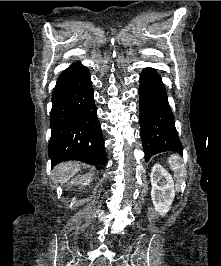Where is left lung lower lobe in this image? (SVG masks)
<instances>
[{"instance_id":"1","label":"left lung lower lobe","mask_w":221,"mask_h":266,"mask_svg":"<svg viewBox=\"0 0 221 266\" xmlns=\"http://www.w3.org/2000/svg\"><path fill=\"white\" fill-rule=\"evenodd\" d=\"M139 81L141 139L145 161L165 151H175L182 155L183 147L160 76L155 69L145 68Z\"/></svg>"}]
</instances>
